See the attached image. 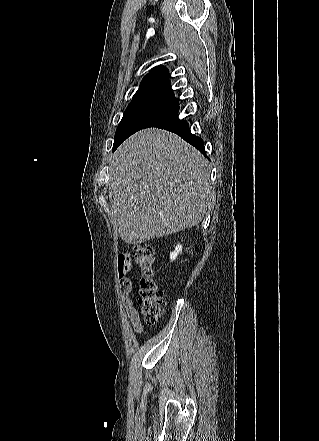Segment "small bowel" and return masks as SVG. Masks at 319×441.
Returning a JSON list of instances; mask_svg holds the SVG:
<instances>
[{
	"label": "small bowel",
	"instance_id": "small-bowel-1",
	"mask_svg": "<svg viewBox=\"0 0 319 441\" xmlns=\"http://www.w3.org/2000/svg\"><path fill=\"white\" fill-rule=\"evenodd\" d=\"M118 264L121 265L125 275V282L122 287V299L127 313V317L136 332L143 331V325L140 319V314L133 305V301L130 298V292L132 284L127 276L131 273L132 267L130 265V254H120L118 256Z\"/></svg>",
	"mask_w": 319,
	"mask_h": 441
}]
</instances>
